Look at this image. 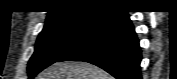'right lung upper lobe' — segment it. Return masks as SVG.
Wrapping results in <instances>:
<instances>
[{
    "instance_id": "1",
    "label": "right lung upper lobe",
    "mask_w": 177,
    "mask_h": 79,
    "mask_svg": "<svg viewBox=\"0 0 177 79\" xmlns=\"http://www.w3.org/2000/svg\"><path fill=\"white\" fill-rule=\"evenodd\" d=\"M115 9L116 7L110 6L101 0H68L59 2L56 10L48 13L46 25L89 16H103Z\"/></svg>"
}]
</instances>
